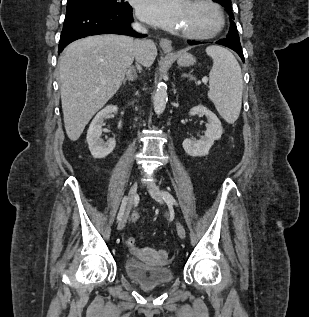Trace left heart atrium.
<instances>
[{"instance_id":"left-heart-atrium-1","label":"left heart atrium","mask_w":309,"mask_h":317,"mask_svg":"<svg viewBox=\"0 0 309 317\" xmlns=\"http://www.w3.org/2000/svg\"><path fill=\"white\" fill-rule=\"evenodd\" d=\"M187 5V0H139L137 14L145 22L176 31L182 28Z\"/></svg>"}]
</instances>
